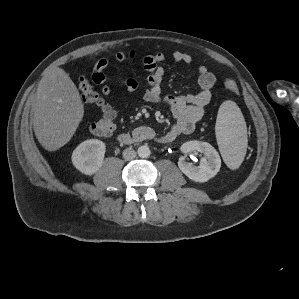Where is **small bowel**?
I'll return each mask as SVG.
<instances>
[{
	"instance_id": "1",
	"label": "small bowel",
	"mask_w": 299,
	"mask_h": 299,
	"mask_svg": "<svg viewBox=\"0 0 299 299\" xmlns=\"http://www.w3.org/2000/svg\"><path fill=\"white\" fill-rule=\"evenodd\" d=\"M138 57L136 50L120 51L115 54L117 62L134 60ZM172 58L175 62L191 64L193 57L190 54L176 51ZM143 65L148 72V87L143 92V99L149 103L163 102L171 111L175 118V123L161 137L163 142H171L180 135H187L195 130L196 125L203 119L206 107L212 100V90L216 84L215 75L206 67H198V87L199 91L195 94L187 95H167L162 97V81L165 74L162 63L165 61L163 53L148 54L143 58ZM109 60L99 59L93 67L92 79L101 86L104 95L111 94L104 70L108 67ZM128 92H134L138 88V81L134 78H126L123 82Z\"/></svg>"
}]
</instances>
